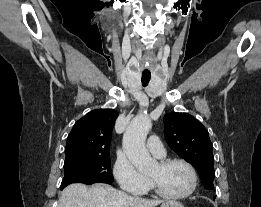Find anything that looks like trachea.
<instances>
[{
    "label": "trachea",
    "mask_w": 261,
    "mask_h": 207,
    "mask_svg": "<svg viewBox=\"0 0 261 207\" xmlns=\"http://www.w3.org/2000/svg\"><path fill=\"white\" fill-rule=\"evenodd\" d=\"M151 74L150 73H142L141 82L144 87H146L150 81Z\"/></svg>",
    "instance_id": "3493384b"
}]
</instances>
